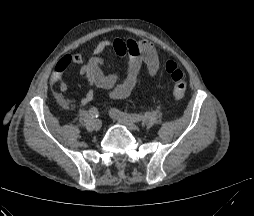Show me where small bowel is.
Masks as SVG:
<instances>
[{"instance_id": "1", "label": "small bowel", "mask_w": 254, "mask_h": 216, "mask_svg": "<svg viewBox=\"0 0 254 216\" xmlns=\"http://www.w3.org/2000/svg\"><path fill=\"white\" fill-rule=\"evenodd\" d=\"M114 55L128 59V69L125 77L118 73H105L103 68L107 65L103 55ZM85 61L82 54H67L62 57L51 75V84L57 89L55 99L63 106L70 105L64 94L68 91V84L62 81L65 70ZM146 66L149 77L157 75L160 67L159 54L154 45L147 40L115 38L99 41L93 51V56L81 68V73L86 77L89 88L81 99L82 105H87L94 98V87L103 89L111 100H120L128 97L138 83L140 72Z\"/></svg>"}]
</instances>
